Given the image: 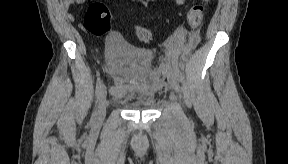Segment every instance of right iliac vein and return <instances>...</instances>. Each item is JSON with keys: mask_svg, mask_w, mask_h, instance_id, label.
<instances>
[{"mask_svg": "<svg viewBox=\"0 0 288 164\" xmlns=\"http://www.w3.org/2000/svg\"><path fill=\"white\" fill-rule=\"evenodd\" d=\"M107 104L108 103H107V97H106V90L103 88L99 95V101H98V107H97V120L98 121H102L105 118Z\"/></svg>", "mask_w": 288, "mask_h": 164, "instance_id": "obj_1", "label": "right iliac vein"}]
</instances>
